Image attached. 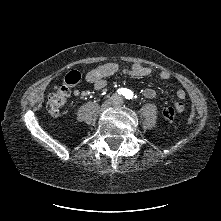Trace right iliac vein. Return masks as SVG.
I'll return each instance as SVG.
<instances>
[{"label":"right iliac vein","mask_w":221,"mask_h":221,"mask_svg":"<svg viewBox=\"0 0 221 221\" xmlns=\"http://www.w3.org/2000/svg\"><path fill=\"white\" fill-rule=\"evenodd\" d=\"M108 106H109V104H108V103H105V104H104V108H105V107H108Z\"/></svg>","instance_id":"obj_1"}]
</instances>
